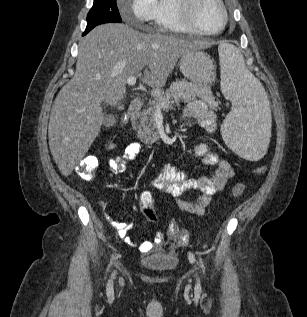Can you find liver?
<instances>
[{
  "label": "liver",
  "instance_id": "1",
  "mask_svg": "<svg viewBox=\"0 0 307 317\" xmlns=\"http://www.w3.org/2000/svg\"><path fill=\"white\" fill-rule=\"evenodd\" d=\"M210 46L206 41L143 33L126 24L93 29L79 42L75 75L51 110L49 147L61 173L70 175L88 152L104 121L102 102L117 105L129 77L152 88L163 87L186 51Z\"/></svg>",
  "mask_w": 307,
  "mask_h": 317
}]
</instances>
